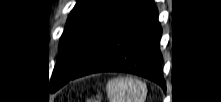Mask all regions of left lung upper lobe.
<instances>
[{"mask_svg":"<svg viewBox=\"0 0 221 102\" xmlns=\"http://www.w3.org/2000/svg\"><path fill=\"white\" fill-rule=\"evenodd\" d=\"M138 0H77L60 39L50 90L68 82Z\"/></svg>","mask_w":221,"mask_h":102,"instance_id":"5c2ea615","label":"left lung upper lobe"}]
</instances>
